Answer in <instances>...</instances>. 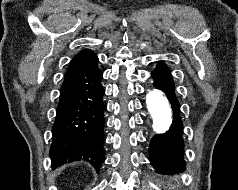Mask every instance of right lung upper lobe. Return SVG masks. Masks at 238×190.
I'll return each instance as SVG.
<instances>
[{
	"label": "right lung upper lobe",
	"mask_w": 238,
	"mask_h": 190,
	"mask_svg": "<svg viewBox=\"0 0 238 190\" xmlns=\"http://www.w3.org/2000/svg\"><path fill=\"white\" fill-rule=\"evenodd\" d=\"M97 56L93 53V51L89 49H85L80 51L74 58L71 60L67 72L65 76H68L78 70L82 69L86 64L96 59Z\"/></svg>",
	"instance_id": "cb5924a9"
}]
</instances>
